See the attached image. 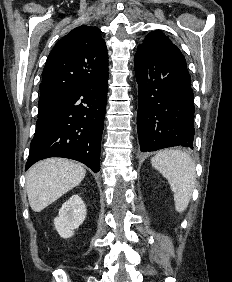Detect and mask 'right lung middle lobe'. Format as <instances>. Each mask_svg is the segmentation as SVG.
I'll return each mask as SVG.
<instances>
[{
    "mask_svg": "<svg viewBox=\"0 0 232 282\" xmlns=\"http://www.w3.org/2000/svg\"><path fill=\"white\" fill-rule=\"evenodd\" d=\"M58 100L52 95H41L38 102V117L44 115Z\"/></svg>",
    "mask_w": 232,
    "mask_h": 282,
    "instance_id": "obj_1",
    "label": "right lung middle lobe"
}]
</instances>
